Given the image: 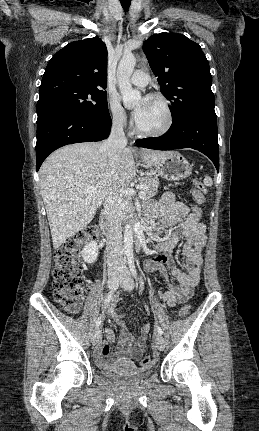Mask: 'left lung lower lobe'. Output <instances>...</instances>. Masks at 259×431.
I'll return each mask as SVG.
<instances>
[{"label": "left lung lower lobe", "mask_w": 259, "mask_h": 431, "mask_svg": "<svg viewBox=\"0 0 259 431\" xmlns=\"http://www.w3.org/2000/svg\"><path fill=\"white\" fill-rule=\"evenodd\" d=\"M217 117L190 113L173 120L170 129L160 137L139 139L140 147L155 150L196 149L214 163L219 171Z\"/></svg>", "instance_id": "0a47b994"}]
</instances>
